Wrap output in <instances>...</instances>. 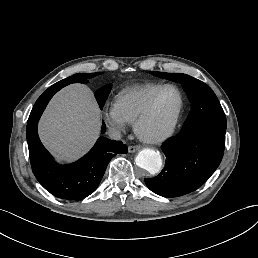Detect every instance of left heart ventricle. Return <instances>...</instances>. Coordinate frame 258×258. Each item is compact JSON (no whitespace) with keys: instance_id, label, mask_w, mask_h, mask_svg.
Instances as JSON below:
<instances>
[{"instance_id":"left-heart-ventricle-1","label":"left heart ventricle","mask_w":258,"mask_h":258,"mask_svg":"<svg viewBox=\"0 0 258 258\" xmlns=\"http://www.w3.org/2000/svg\"><path fill=\"white\" fill-rule=\"evenodd\" d=\"M178 106L177 94L172 89L162 90L155 98L151 111L141 122L143 134L156 137L171 126Z\"/></svg>"}]
</instances>
